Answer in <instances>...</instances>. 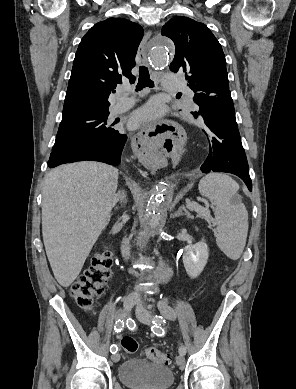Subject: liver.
<instances>
[{
    "label": "liver",
    "mask_w": 296,
    "mask_h": 389,
    "mask_svg": "<svg viewBox=\"0 0 296 389\" xmlns=\"http://www.w3.org/2000/svg\"><path fill=\"white\" fill-rule=\"evenodd\" d=\"M118 170L92 161L61 165L45 178L42 234L58 283L70 286L107 226L116 203Z\"/></svg>",
    "instance_id": "obj_1"
}]
</instances>
